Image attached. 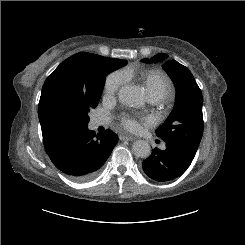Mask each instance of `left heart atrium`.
<instances>
[{
	"label": "left heart atrium",
	"instance_id": "left-heart-atrium-1",
	"mask_svg": "<svg viewBox=\"0 0 245 245\" xmlns=\"http://www.w3.org/2000/svg\"><path fill=\"white\" fill-rule=\"evenodd\" d=\"M120 123L125 129L132 132L138 131L140 128L139 120L129 114H122L120 116Z\"/></svg>",
	"mask_w": 245,
	"mask_h": 245
}]
</instances>
